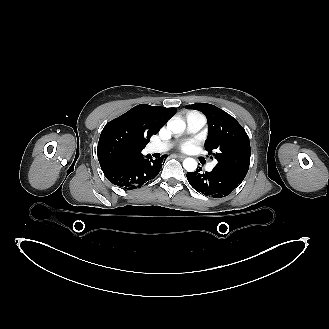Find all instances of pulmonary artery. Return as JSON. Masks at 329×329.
Returning <instances> with one entry per match:
<instances>
[{"label": "pulmonary artery", "mask_w": 329, "mask_h": 329, "mask_svg": "<svg viewBox=\"0 0 329 329\" xmlns=\"http://www.w3.org/2000/svg\"><path fill=\"white\" fill-rule=\"evenodd\" d=\"M206 124V118L204 115L194 112L187 117V131L190 133L198 132ZM171 147L169 142H156L151 144V152H164ZM214 168V164L210 163L207 166V170L211 171Z\"/></svg>", "instance_id": "1"}]
</instances>
